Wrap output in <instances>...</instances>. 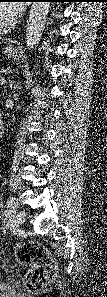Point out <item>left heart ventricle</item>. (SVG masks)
Segmentation results:
<instances>
[{
  "mask_svg": "<svg viewBox=\"0 0 107 297\" xmlns=\"http://www.w3.org/2000/svg\"><path fill=\"white\" fill-rule=\"evenodd\" d=\"M0 25H7L11 23L12 18L9 12L8 5H0Z\"/></svg>",
  "mask_w": 107,
  "mask_h": 297,
  "instance_id": "obj_1",
  "label": "left heart ventricle"
}]
</instances>
